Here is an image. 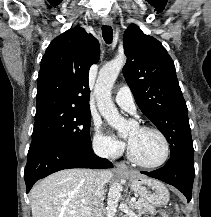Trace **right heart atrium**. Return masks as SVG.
<instances>
[{
    "label": "right heart atrium",
    "mask_w": 211,
    "mask_h": 217,
    "mask_svg": "<svg viewBox=\"0 0 211 217\" xmlns=\"http://www.w3.org/2000/svg\"><path fill=\"white\" fill-rule=\"evenodd\" d=\"M93 148L101 155L115 158L123 152L124 145L121 142L105 135L101 129L96 126L93 136Z\"/></svg>",
    "instance_id": "1"
}]
</instances>
